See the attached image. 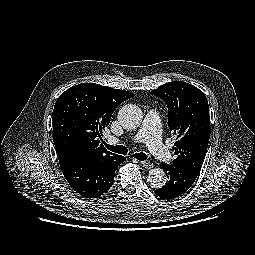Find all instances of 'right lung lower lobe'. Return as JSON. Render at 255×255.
I'll use <instances>...</instances> for the list:
<instances>
[{"instance_id": "right-lung-lower-lobe-1", "label": "right lung lower lobe", "mask_w": 255, "mask_h": 255, "mask_svg": "<svg viewBox=\"0 0 255 255\" xmlns=\"http://www.w3.org/2000/svg\"><path fill=\"white\" fill-rule=\"evenodd\" d=\"M125 160L116 154L105 159H68L59 164L73 190L84 198H97L112 186L115 170Z\"/></svg>"}]
</instances>
